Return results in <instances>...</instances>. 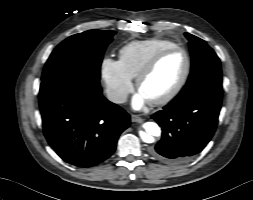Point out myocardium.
Returning <instances> with one entry per match:
<instances>
[{"label": "myocardium", "instance_id": "obj_1", "mask_svg": "<svg viewBox=\"0 0 253 200\" xmlns=\"http://www.w3.org/2000/svg\"><path fill=\"white\" fill-rule=\"evenodd\" d=\"M179 51L181 53L184 54L185 59H186V68H185V72L182 76V78L180 79L179 83L175 86V88L168 93L166 96L155 100V101H151L150 104L153 106H163L168 104L169 102H171L173 99H175L179 93L182 91V89L185 87L190 73H191V68H192V61H191V57L188 53V51L186 49H184L183 47L180 46H173L167 49H164L162 51H160L159 53H157L136 75L135 77V86L137 89H139V86L141 84V82L149 75L153 72V70L157 67V65L160 63V61L167 56L168 54L172 53V52H176Z\"/></svg>", "mask_w": 253, "mask_h": 200}]
</instances>
